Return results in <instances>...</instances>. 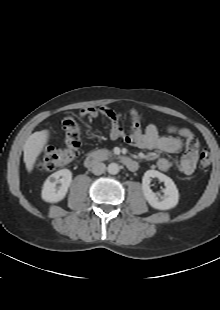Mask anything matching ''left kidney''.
<instances>
[{"label":"left kidney","mask_w":220,"mask_h":310,"mask_svg":"<svg viewBox=\"0 0 220 310\" xmlns=\"http://www.w3.org/2000/svg\"><path fill=\"white\" fill-rule=\"evenodd\" d=\"M158 178L164 182L165 189L163 190L164 196L159 200L156 193L150 189V182L152 178ZM143 194L151 207L158 210H169L174 208L179 201V192L173 180L165 174L156 171L148 170L144 173L142 178Z\"/></svg>","instance_id":"left-kidney-1"}]
</instances>
